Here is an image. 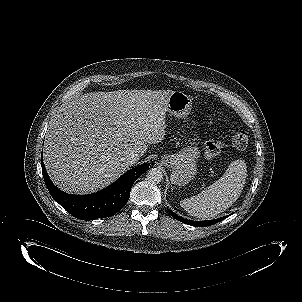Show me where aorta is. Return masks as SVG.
<instances>
[{
    "label": "aorta",
    "instance_id": "aorta-1",
    "mask_svg": "<svg viewBox=\"0 0 302 302\" xmlns=\"http://www.w3.org/2000/svg\"><path fill=\"white\" fill-rule=\"evenodd\" d=\"M147 179L151 183H160L163 180V173L158 168H152L147 172Z\"/></svg>",
    "mask_w": 302,
    "mask_h": 302
}]
</instances>
